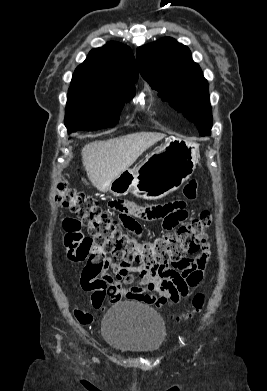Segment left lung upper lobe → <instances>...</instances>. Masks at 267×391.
<instances>
[{"label": "left lung upper lobe", "mask_w": 267, "mask_h": 391, "mask_svg": "<svg viewBox=\"0 0 267 391\" xmlns=\"http://www.w3.org/2000/svg\"><path fill=\"white\" fill-rule=\"evenodd\" d=\"M137 62L141 76L164 101L195 123L201 135L210 134L208 83L186 46L165 37L139 47Z\"/></svg>", "instance_id": "obj_1"}]
</instances>
